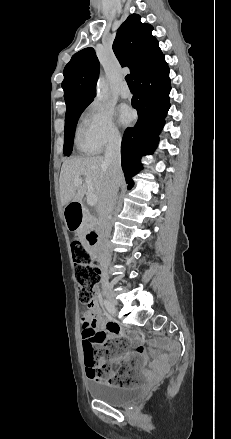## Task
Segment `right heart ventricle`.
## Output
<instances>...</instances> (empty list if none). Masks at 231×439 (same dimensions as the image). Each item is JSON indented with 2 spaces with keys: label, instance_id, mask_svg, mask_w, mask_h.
Segmentation results:
<instances>
[{
  "label": "right heart ventricle",
  "instance_id": "right-heart-ventricle-1",
  "mask_svg": "<svg viewBox=\"0 0 231 439\" xmlns=\"http://www.w3.org/2000/svg\"><path fill=\"white\" fill-rule=\"evenodd\" d=\"M77 144H78V147L84 152H87V153H94L95 152L94 149L83 139L82 130H80L78 132Z\"/></svg>",
  "mask_w": 231,
  "mask_h": 439
}]
</instances>
